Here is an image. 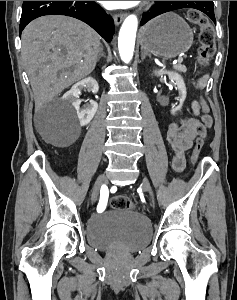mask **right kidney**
<instances>
[{"instance_id": "ca27d5eb", "label": "right kidney", "mask_w": 237, "mask_h": 300, "mask_svg": "<svg viewBox=\"0 0 237 300\" xmlns=\"http://www.w3.org/2000/svg\"><path fill=\"white\" fill-rule=\"evenodd\" d=\"M82 89H88V91H92V93H98L99 85L95 79L87 77V79H83V81H79V83L73 85L70 91L65 93L64 99H67V101L73 105L81 127H85V125H88V123L92 121L94 115H96L98 105L96 101H89L88 105L81 107L82 101H80L79 95H81Z\"/></svg>"}]
</instances>
